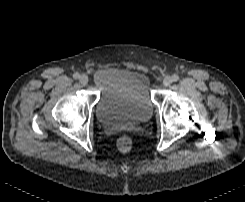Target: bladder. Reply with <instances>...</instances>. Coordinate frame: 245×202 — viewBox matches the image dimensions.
Returning <instances> with one entry per match:
<instances>
[{"instance_id":"31cf9c89","label":"bladder","mask_w":245,"mask_h":202,"mask_svg":"<svg viewBox=\"0 0 245 202\" xmlns=\"http://www.w3.org/2000/svg\"><path fill=\"white\" fill-rule=\"evenodd\" d=\"M91 79L99 91L94 108L102 126L143 122L154 113L151 80L147 73L132 68H102Z\"/></svg>"}]
</instances>
